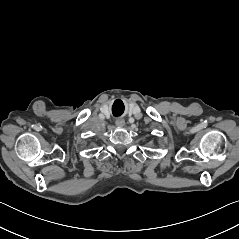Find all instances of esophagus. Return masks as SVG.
Returning <instances> with one entry per match:
<instances>
[{
    "label": "esophagus",
    "mask_w": 239,
    "mask_h": 239,
    "mask_svg": "<svg viewBox=\"0 0 239 239\" xmlns=\"http://www.w3.org/2000/svg\"><path fill=\"white\" fill-rule=\"evenodd\" d=\"M124 124H125V122H124L123 119H118V120L116 121V125H117V126H124Z\"/></svg>",
    "instance_id": "1"
}]
</instances>
